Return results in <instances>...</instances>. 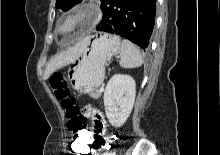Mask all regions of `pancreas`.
Here are the masks:
<instances>
[{"instance_id": "pancreas-1", "label": "pancreas", "mask_w": 220, "mask_h": 155, "mask_svg": "<svg viewBox=\"0 0 220 155\" xmlns=\"http://www.w3.org/2000/svg\"><path fill=\"white\" fill-rule=\"evenodd\" d=\"M101 91L97 90L94 94L91 95V97H93L94 99H98L101 97Z\"/></svg>"}]
</instances>
